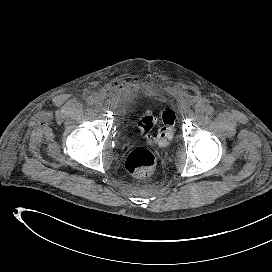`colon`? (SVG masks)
<instances>
[{
    "mask_svg": "<svg viewBox=\"0 0 272 272\" xmlns=\"http://www.w3.org/2000/svg\"><path fill=\"white\" fill-rule=\"evenodd\" d=\"M176 115L171 109H165L162 113V124L156 132H152L155 118L147 113L139 122V128L149 142L165 145L170 142L174 133ZM156 166V159L148 149L139 147L132 150L126 158L125 167L129 173L136 177L150 176Z\"/></svg>",
    "mask_w": 272,
    "mask_h": 272,
    "instance_id": "colon-1",
    "label": "colon"
}]
</instances>
